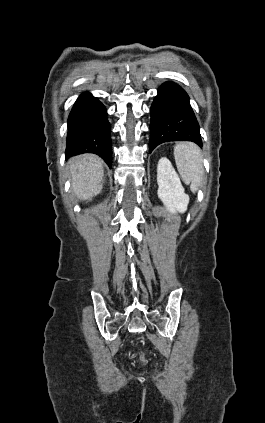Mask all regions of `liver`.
Listing matches in <instances>:
<instances>
[{"instance_id":"1","label":"liver","mask_w":265,"mask_h":423,"mask_svg":"<svg viewBox=\"0 0 265 423\" xmlns=\"http://www.w3.org/2000/svg\"><path fill=\"white\" fill-rule=\"evenodd\" d=\"M103 160L94 154L73 157L69 161L72 189L77 198L88 200L102 190Z\"/></svg>"}]
</instances>
